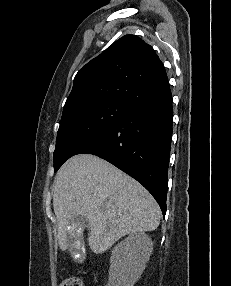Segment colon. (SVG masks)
Wrapping results in <instances>:
<instances>
[{"label":"colon","mask_w":231,"mask_h":286,"mask_svg":"<svg viewBox=\"0 0 231 286\" xmlns=\"http://www.w3.org/2000/svg\"><path fill=\"white\" fill-rule=\"evenodd\" d=\"M60 286H84V285L79 277L69 276L62 280Z\"/></svg>","instance_id":"1"}]
</instances>
